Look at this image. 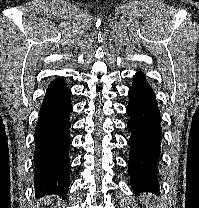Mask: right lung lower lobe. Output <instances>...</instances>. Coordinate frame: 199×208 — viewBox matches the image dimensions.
Segmentation results:
<instances>
[{
    "instance_id": "right-lung-lower-lobe-1",
    "label": "right lung lower lobe",
    "mask_w": 199,
    "mask_h": 208,
    "mask_svg": "<svg viewBox=\"0 0 199 208\" xmlns=\"http://www.w3.org/2000/svg\"><path fill=\"white\" fill-rule=\"evenodd\" d=\"M71 92L63 79L49 85L35 128V194L65 198L69 189Z\"/></svg>"
}]
</instances>
